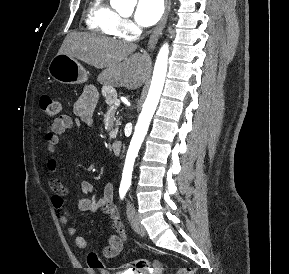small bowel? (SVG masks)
Returning <instances> with one entry per match:
<instances>
[{
  "label": "small bowel",
  "instance_id": "obj_1",
  "mask_svg": "<svg viewBox=\"0 0 289 274\" xmlns=\"http://www.w3.org/2000/svg\"><path fill=\"white\" fill-rule=\"evenodd\" d=\"M98 101V92L93 87H88L84 93L75 101L74 112L76 121L69 115H61L53 120L46 135V166L49 174L48 184L52 191L51 204L57 211L59 219L63 225H67V233L75 236V244L80 249L87 248L85 237L77 235V229L69 224L68 211L65 208V198L68 189L57 178L56 174V152L60 142V137L71 130L76 123L77 126L85 124L91 126L93 123V113ZM82 197L78 201V209L82 212H95L101 210L112 221L114 234L108 239L107 246L103 249L106 258L117 256L123 249L126 242V232L119 217L118 209L114 203V185L112 182L106 183L101 197L97 198L95 189L89 181H82L80 185Z\"/></svg>",
  "mask_w": 289,
  "mask_h": 274
}]
</instances>
